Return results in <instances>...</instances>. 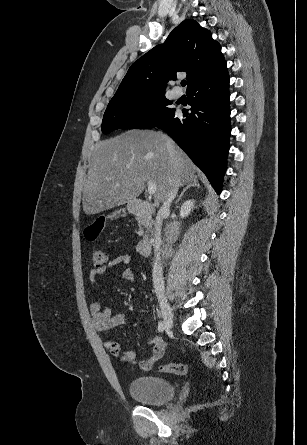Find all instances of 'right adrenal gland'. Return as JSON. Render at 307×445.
<instances>
[{"mask_svg": "<svg viewBox=\"0 0 307 445\" xmlns=\"http://www.w3.org/2000/svg\"><path fill=\"white\" fill-rule=\"evenodd\" d=\"M192 186H197V188H200V184H199V180L197 178V176H195L194 180H191L190 184H187V186H185V188H183L179 198H177L176 202H179L180 198H182L184 192H186V190H188V188H192Z\"/></svg>", "mask_w": 307, "mask_h": 445, "instance_id": "2a0ac1e0", "label": "right adrenal gland"}]
</instances>
